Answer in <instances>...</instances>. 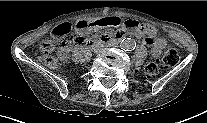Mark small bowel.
Masks as SVG:
<instances>
[{
  "label": "small bowel",
  "mask_w": 207,
  "mask_h": 123,
  "mask_svg": "<svg viewBox=\"0 0 207 123\" xmlns=\"http://www.w3.org/2000/svg\"><path fill=\"white\" fill-rule=\"evenodd\" d=\"M123 24L121 17L100 18L96 22H86L85 20L77 21V28L83 32H88L92 27L94 28H116ZM134 33L136 37L143 38L146 45L151 46V55L159 57L166 43L164 39L156 36V29L148 24H140L134 19L125 22L124 29L119 30L114 37L124 36L126 33ZM108 37V36H107Z\"/></svg>",
  "instance_id": "c3829d8e"
}]
</instances>
